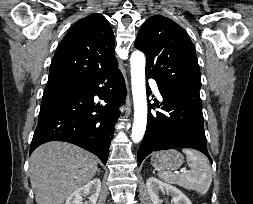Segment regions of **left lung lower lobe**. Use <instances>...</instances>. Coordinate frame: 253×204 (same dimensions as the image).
Returning <instances> with one entry per match:
<instances>
[{
	"instance_id": "0a47b994",
	"label": "left lung lower lobe",
	"mask_w": 253,
	"mask_h": 204,
	"mask_svg": "<svg viewBox=\"0 0 253 204\" xmlns=\"http://www.w3.org/2000/svg\"><path fill=\"white\" fill-rule=\"evenodd\" d=\"M158 89L163 97L161 109L166 113L148 112L147 129L137 154L138 165L153 151L173 148L197 149L211 161L199 94L170 91L160 86ZM149 108L154 109V104L149 103Z\"/></svg>"
}]
</instances>
